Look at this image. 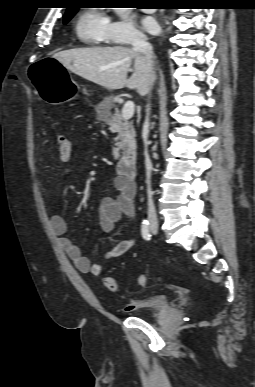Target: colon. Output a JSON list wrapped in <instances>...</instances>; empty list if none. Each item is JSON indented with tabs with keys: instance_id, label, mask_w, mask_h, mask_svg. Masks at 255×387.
Masks as SVG:
<instances>
[{
	"instance_id": "colon-1",
	"label": "colon",
	"mask_w": 255,
	"mask_h": 387,
	"mask_svg": "<svg viewBox=\"0 0 255 387\" xmlns=\"http://www.w3.org/2000/svg\"><path fill=\"white\" fill-rule=\"evenodd\" d=\"M44 116H47V114L44 113ZM56 143H57L59 156L69 155L72 152V149H73L72 142L65 135L58 133L56 135ZM147 281H148V277L146 275L141 274L137 276L136 283L138 286L140 287L146 286ZM102 284L107 290L111 292H116L119 288L117 280L109 276L103 278Z\"/></svg>"
}]
</instances>
